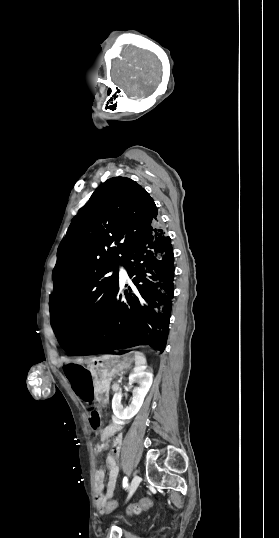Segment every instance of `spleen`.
<instances>
[{"label": "spleen", "mask_w": 279, "mask_h": 538, "mask_svg": "<svg viewBox=\"0 0 279 538\" xmlns=\"http://www.w3.org/2000/svg\"><path fill=\"white\" fill-rule=\"evenodd\" d=\"M134 354H135V366H137V368H142V366H146L147 360L144 354H141V352H134Z\"/></svg>", "instance_id": "3e777b00"}]
</instances>
